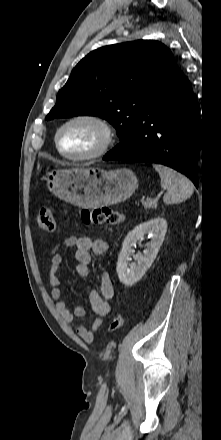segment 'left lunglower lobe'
Here are the masks:
<instances>
[{
    "mask_svg": "<svg viewBox=\"0 0 221 440\" xmlns=\"http://www.w3.org/2000/svg\"><path fill=\"white\" fill-rule=\"evenodd\" d=\"M200 108L182 71L168 80L145 107L118 153L103 160L151 162L186 175L197 187V154L201 150Z\"/></svg>",
    "mask_w": 221,
    "mask_h": 440,
    "instance_id": "obj_1",
    "label": "left lung lower lobe"
}]
</instances>
